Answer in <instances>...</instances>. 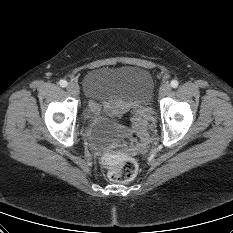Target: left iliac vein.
Here are the masks:
<instances>
[{
	"instance_id": "obj_1",
	"label": "left iliac vein",
	"mask_w": 233,
	"mask_h": 233,
	"mask_svg": "<svg viewBox=\"0 0 233 233\" xmlns=\"http://www.w3.org/2000/svg\"><path fill=\"white\" fill-rule=\"evenodd\" d=\"M171 91V86L168 83H164L161 85L159 94L160 96H166Z\"/></svg>"
}]
</instances>
